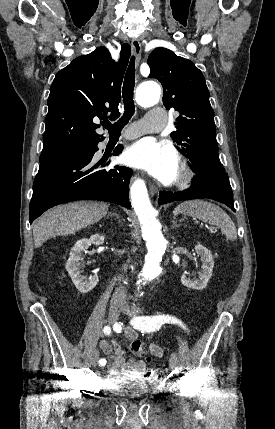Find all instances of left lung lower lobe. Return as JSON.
I'll list each match as a JSON object with an SVG mask.
<instances>
[{"label": "left lung lower lobe", "mask_w": 275, "mask_h": 429, "mask_svg": "<svg viewBox=\"0 0 275 429\" xmlns=\"http://www.w3.org/2000/svg\"><path fill=\"white\" fill-rule=\"evenodd\" d=\"M194 171L197 173V177L189 189L177 193L161 191L159 204L177 200L208 198L224 203L235 211L233 192L226 171L215 167H203Z\"/></svg>", "instance_id": "0a47b994"}]
</instances>
